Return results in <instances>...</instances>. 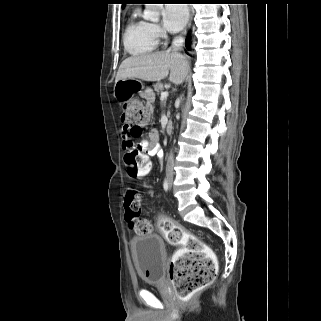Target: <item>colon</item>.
<instances>
[{"instance_id": "colon-1", "label": "colon", "mask_w": 321, "mask_h": 321, "mask_svg": "<svg viewBox=\"0 0 321 321\" xmlns=\"http://www.w3.org/2000/svg\"><path fill=\"white\" fill-rule=\"evenodd\" d=\"M150 120V111L138 99L124 102L122 122L133 137H140ZM128 172L133 176L145 175L150 170L149 158L139 151L125 155ZM125 220L136 234L152 230L151 222L140 215V193L135 188L125 191ZM157 225L167 242L180 249L170 265V278L178 295L187 299L209 285L215 278L217 262L212 250L195 235L171 219L160 216Z\"/></svg>"}]
</instances>
